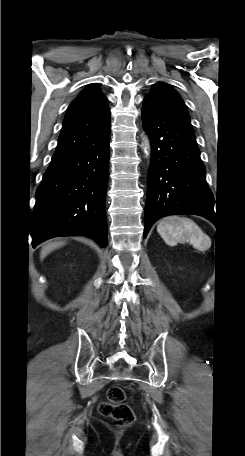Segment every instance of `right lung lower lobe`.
<instances>
[{
    "instance_id": "right-lung-lower-lobe-1",
    "label": "right lung lower lobe",
    "mask_w": 245,
    "mask_h": 456,
    "mask_svg": "<svg viewBox=\"0 0 245 456\" xmlns=\"http://www.w3.org/2000/svg\"><path fill=\"white\" fill-rule=\"evenodd\" d=\"M110 124L90 145L53 156L36 191L33 247L57 236L85 235L107 246L105 195Z\"/></svg>"
}]
</instances>
